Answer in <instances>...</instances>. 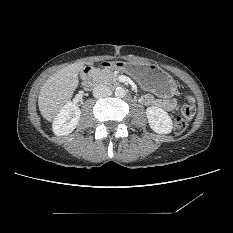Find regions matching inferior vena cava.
<instances>
[{
	"label": "inferior vena cava",
	"instance_id": "obj_1",
	"mask_svg": "<svg viewBox=\"0 0 233 233\" xmlns=\"http://www.w3.org/2000/svg\"><path fill=\"white\" fill-rule=\"evenodd\" d=\"M111 94H112L111 89L106 85H102V84L97 85L93 89V96L95 98H103V97L110 96Z\"/></svg>",
	"mask_w": 233,
	"mask_h": 233
}]
</instances>
